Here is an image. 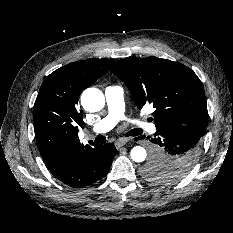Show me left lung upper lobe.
<instances>
[{
  "label": "left lung upper lobe",
  "instance_id": "left-lung-upper-lobe-1",
  "mask_svg": "<svg viewBox=\"0 0 233 233\" xmlns=\"http://www.w3.org/2000/svg\"><path fill=\"white\" fill-rule=\"evenodd\" d=\"M111 71L130 90L139 109L151 104L156 129L192 127L206 132L208 111L202 83L187 66L154 56L130 57L117 62ZM159 161H150L144 176L160 182H173L186 176L192 167L166 172Z\"/></svg>",
  "mask_w": 233,
  "mask_h": 233
}]
</instances>
